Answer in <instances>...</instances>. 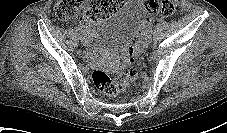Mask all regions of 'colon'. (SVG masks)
Returning a JSON list of instances; mask_svg holds the SVG:
<instances>
[{"label":"colon","instance_id":"1","mask_svg":"<svg viewBox=\"0 0 227 133\" xmlns=\"http://www.w3.org/2000/svg\"><path fill=\"white\" fill-rule=\"evenodd\" d=\"M124 4V0H57L54 5L56 16L62 21L78 17L85 24L104 20ZM179 0H145L146 25L153 17L172 16L178 9ZM137 52L129 47L124 58L125 64L112 74L101 70L92 72L95 87L107 96H117L136 82L138 70L134 66Z\"/></svg>","mask_w":227,"mask_h":133}]
</instances>
